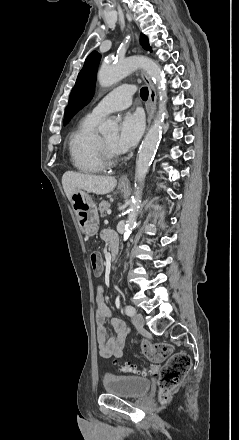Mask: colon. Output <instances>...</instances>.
<instances>
[{
  "label": "colon",
  "mask_w": 239,
  "mask_h": 440,
  "mask_svg": "<svg viewBox=\"0 0 239 440\" xmlns=\"http://www.w3.org/2000/svg\"><path fill=\"white\" fill-rule=\"evenodd\" d=\"M91 267L95 275L102 272V263L99 254L92 253L90 256ZM141 347L146 356L154 363L150 372L159 374L161 396L167 398L168 393L183 380L191 367V358L187 353H172V348L168 344H152L148 341H142ZM167 359L166 363L159 367V363ZM124 371L139 373V370L133 366L124 367Z\"/></svg>",
  "instance_id": "obj_1"
}]
</instances>
